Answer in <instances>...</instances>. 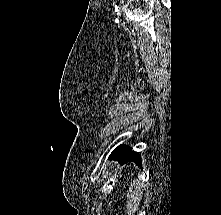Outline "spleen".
<instances>
[{
	"label": "spleen",
	"mask_w": 221,
	"mask_h": 215,
	"mask_svg": "<svg viewBox=\"0 0 221 215\" xmlns=\"http://www.w3.org/2000/svg\"><path fill=\"white\" fill-rule=\"evenodd\" d=\"M142 183L140 181H133L131 187L129 188V192L127 194V210L130 213H134L140 204L142 197Z\"/></svg>",
	"instance_id": "1"
}]
</instances>
